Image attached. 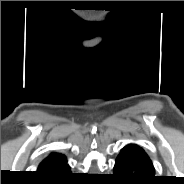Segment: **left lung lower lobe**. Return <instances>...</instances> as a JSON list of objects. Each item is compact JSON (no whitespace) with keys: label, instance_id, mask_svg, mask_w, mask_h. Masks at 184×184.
<instances>
[{"label":"left lung lower lobe","instance_id":"0a47b994","mask_svg":"<svg viewBox=\"0 0 184 184\" xmlns=\"http://www.w3.org/2000/svg\"><path fill=\"white\" fill-rule=\"evenodd\" d=\"M155 169L142 148L135 144L125 146L116 159L114 177L121 183L151 184Z\"/></svg>","mask_w":184,"mask_h":184}]
</instances>
